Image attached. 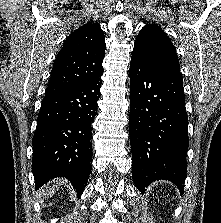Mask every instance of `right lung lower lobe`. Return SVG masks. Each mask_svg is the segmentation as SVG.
<instances>
[{"instance_id":"1","label":"right lung lower lobe","mask_w":221,"mask_h":223,"mask_svg":"<svg viewBox=\"0 0 221 223\" xmlns=\"http://www.w3.org/2000/svg\"><path fill=\"white\" fill-rule=\"evenodd\" d=\"M102 73L42 100L32 141L36 188L55 177H65L78 197L84 191L91 171V124Z\"/></svg>"}]
</instances>
